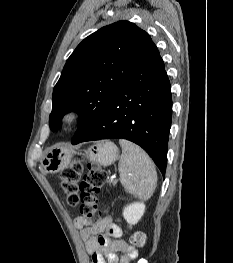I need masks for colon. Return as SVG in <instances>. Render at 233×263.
<instances>
[{"mask_svg":"<svg viewBox=\"0 0 233 263\" xmlns=\"http://www.w3.org/2000/svg\"><path fill=\"white\" fill-rule=\"evenodd\" d=\"M105 182V171L98 165L84 168L82 159L74 160L61 173V188L67 203L70 206L79 205L81 215L91 225L101 220L96 196ZM129 241L133 247L141 249L145 246L146 237L142 232H132Z\"/></svg>","mask_w":233,"mask_h":263,"instance_id":"1","label":"colon"}]
</instances>
